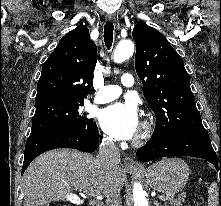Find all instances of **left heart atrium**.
Returning a JSON list of instances; mask_svg holds the SVG:
<instances>
[{"instance_id":"left-heart-atrium-1","label":"left heart atrium","mask_w":221,"mask_h":206,"mask_svg":"<svg viewBox=\"0 0 221 206\" xmlns=\"http://www.w3.org/2000/svg\"><path fill=\"white\" fill-rule=\"evenodd\" d=\"M103 129L116 139H132L139 131L138 110L133 103H114L101 111Z\"/></svg>"}]
</instances>
